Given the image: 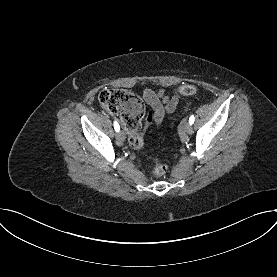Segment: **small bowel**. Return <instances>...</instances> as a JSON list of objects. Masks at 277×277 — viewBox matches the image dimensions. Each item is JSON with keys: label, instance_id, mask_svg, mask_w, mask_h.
<instances>
[{"label": "small bowel", "instance_id": "c3829d8e", "mask_svg": "<svg viewBox=\"0 0 277 277\" xmlns=\"http://www.w3.org/2000/svg\"><path fill=\"white\" fill-rule=\"evenodd\" d=\"M145 101L152 107L154 119L152 123L160 125L165 114L173 113L178 106L179 95H167L163 90L154 91L146 88L143 91Z\"/></svg>", "mask_w": 277, "mask_h": 277}]
</instances>
